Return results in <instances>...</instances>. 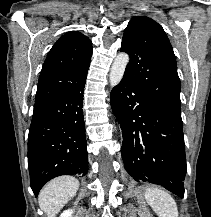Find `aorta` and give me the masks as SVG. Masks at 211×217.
I'll list each match as a JSON object with an SVG mask.
<instances>
[{
	"mask_svg": "<svg viewBox=\"0 0 211 217\" xmlns=\"http://www.w3.org/2000/svg\"><path fill=\"white\" fill-rule=\"evenodd\" d=\"M129 62V56L126 53H119L114 60L110 75L109 81L111 87L118 85L124 75L125 68Z\"/></svg>",
	"mask_w": 211,
	"mask_h": 217,
	"instance_id": "1",
	"label": "aorta"
}]
</instances>
